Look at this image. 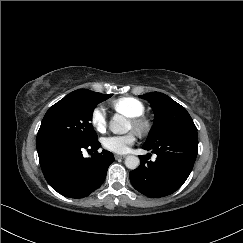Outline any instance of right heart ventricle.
<instances>
[{
	"label": "right heart ventricle",
	"instance_id": "1",
	"mask_svg": "<svg viewBox=\"0 0 243 243\" xmlns=\"http://www.w3.org/2000/svg\"><path fill=\"white\" fill-rule=\"evenodd\" d=\"M110 107L129 118L143 115L145 108L143 103L133 97H121L110 102Z\"/></svg>",
	"mask_w": 243,
	"mask_h": 243
}]
</instances>
